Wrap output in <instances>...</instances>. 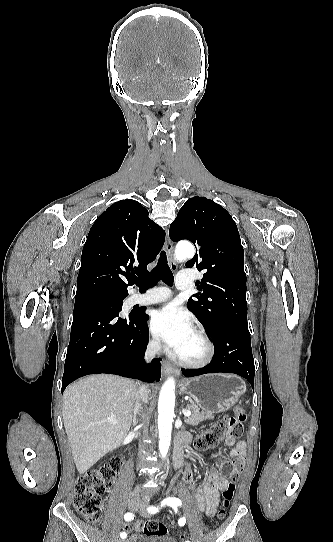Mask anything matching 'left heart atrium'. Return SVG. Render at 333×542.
Returning <instances> with one entry per match:
<instances>
[{
    "label": "left heart atrium",
    "mask_w": 333,
    "mask_h": 542,
    "mask_svg": "<svg viewBox=\"0 0 333 542\" xmlns=\"http://www.w3.org/2000/svg\"><path fill=\"white\" fill-rule=\"evenodd\" d=\"M152 328L172 354L194 332V324L189 314L174 304L167 305L155 313Z\"/></svg>",
    "instance_id": "left-heart-atrium-1"
}]
</instances>
